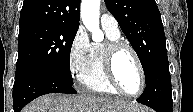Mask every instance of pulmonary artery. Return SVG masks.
<instances>
[{"label":"pulmonary artery","mask_w":193,"mask_h":112,"mask_svg":"<svg viewBox=\"0 0 193 112\" xmlns=\"http://www.w3.org/2000/svg\"><path fill=\"white\" fill-rule=\"evenodd\" d=\"M100 23L104 29L110 30L115 33H120L118 22L113 15L109 13L102 14L100 18Z\"/></svg>","instance_id":"obj_1"}]
</instances>
